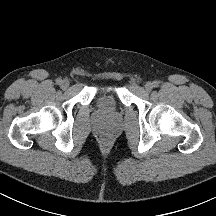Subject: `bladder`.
I'll return each mask as SVG.
<instances>
[{
	"mask_svg": "<svg viewBox=\"0 0 216 216\" xmlns=\"http://www.w3.org/2000/svg\"><path fill=\"white\" fill-rule=\"evenodd\" d=\"M121 102L116 89H99L94 96V107L106 117L114 116L120 109Z\"/></svg>",
	"mask_w": 216,
	"mask_h": 216,
	"instance_id": "obj_1",
	"label": "bladder"
}]
</instances>
